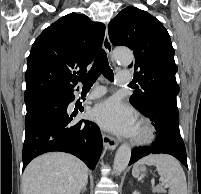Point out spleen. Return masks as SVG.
<instances>
[{
	"instance_id": "3e777b00",
	"label": "spleen",
	"mask_w": 201,
	"mask_h": 194,
	"mask_svg": "<svg viewBox=\"0 0 201 194\" xmlns=\"http://www.w3.org/2000/svg\"><path fill=\"white\" fill-rule=\"evenodd\" d=\"M154 165L157 168L169 188V194H187V182L185 173L180 163L167 154L149 155L140 159L132 169V175L139 177V165Z\"/></svg>"
}]
</instances>
